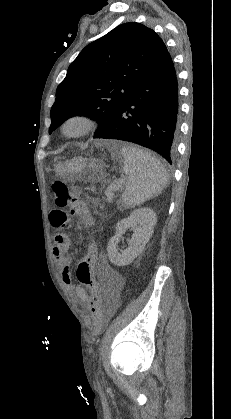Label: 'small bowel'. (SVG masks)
Masks as SVG:
<instances>
[{
  "label": "small bowel",
  "instance_id": "obj_1",
  "mask_svg": "<svg viewBox=\"0 0 231 419\" xmlns=\"http://www.w3.org/2000/svg\"><path fill=\"white\" fill-rule=\"evenodd\" d=\"M69 220V216L63 211L55 210L50 213V222L54 227H56L58 232L69 231ZM69 247L70 238L66 233H58L55 235L53 255L58 267L60 268L62 282L69 291L74 293L75 297L81 304H87L85 298L88 294L83 288L75 286L72 281V269L70 266L71 257L68 254ZM92 265L98 277L103 282L107 316H111L116 311L120 303V280L111 273L110 268L106 264V259L102 254L98 255L95 263Z\"/></svg>",
  "mask_w": 231,
  "mask_h": 419
}]
</instances>
